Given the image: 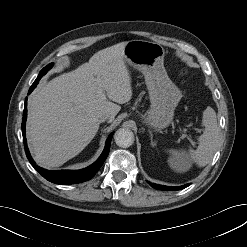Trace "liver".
I'll list each match as a JSON object with an SVG mask.
<instances>
[{
	"label": "liver",
	"instance_id": "6515ba94",
	"mask_svg": "<svg viewBox=\"0 0 247 247\" xmlns=\"http://www.w3.org/2000/svg\"><path fill=\"white\" fill-rule=\"evenodd\" d=\"M126 44L98 51L88 63L34 91L28 103L27 140L38 165L55 168L78 155L95 137L99 116L109 114L112 121L119 104L131 100Z\"/></svg>",
	"mask_w": 247,
	"mask_h": 247
}]
</instances>
